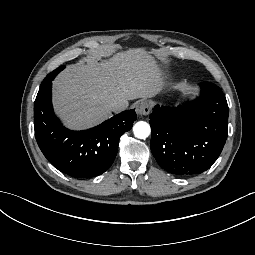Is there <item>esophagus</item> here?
<instances>
[{
	"mask_svg": "<svg viewBox=\"0 0 255 255\" xmlns=\"http://www.w3.org/2000/svg\"><path fill=\"white\" fill-rule=\"evenodd\" d=\"M151 107L148 101H141L138 103L137 114L144 116L150 113Z\"/></svg>",
	"mask_w": 255,
	"mask_h": 255,
	"instance_id": "34e87169",
	"label": "esophagus"
}]
</instances>
